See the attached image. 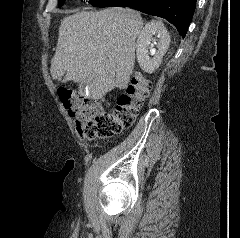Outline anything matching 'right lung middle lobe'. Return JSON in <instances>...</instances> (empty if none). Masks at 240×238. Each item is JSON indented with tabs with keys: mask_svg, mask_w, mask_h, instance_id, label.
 <instances>
[{
	"mask_svg": "<svg viewBox=\"0 0 240 238\" xmlns=\"http://www.w3.org/2000/svg\"><path fill=\"white\" fill-rule=\"evenodd\" d=\"M65 0H58V6L61 7L64 4ZM97 2V0H90V3L93 4Z\"/></svg>",
	"mask_w": 240,
	"mask_h": 238,
	"instance_id": "right-lung-middle-lobe-1",
	"label": "right lung middle lobe"
}]
</instances>
